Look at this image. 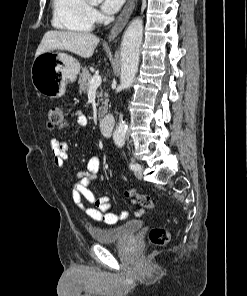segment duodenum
Wrapping results in <instances>:
<instances>
[{"label":"duodenum","instance_id":"duodenum-1","mask_svg":"<svg viewBox=\"0 0 247 296\" xmlns=\"http://www.w3.org/2000/svg\"><path fill=\"white\" fill-rule=\"evenodd\" d=\"M114 118L112 116H103L99 121L101 134L105 137H111L114 130Z\"/></svg>","mask_w":247,"mask_h":296}]
</instances>
